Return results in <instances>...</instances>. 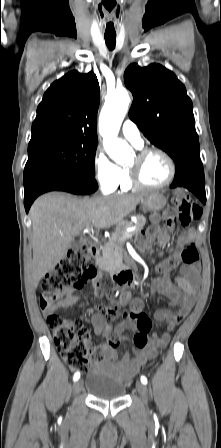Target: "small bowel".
<instances>
[{
    "label": "small bowel",
    "instance_id": "c3829d8e",
    "mask_svg": "<svg viewBox=\"0 0 221 448\" xmlns=\"http://www.w3.org/2000/svg\"><path fill=\"white\" fill-rule=\"evenodd\" d=\"M166 223H162L159 218H152V225L148 229L147 234L142 235L137 240V245L141 250L147 249L151 243L158 246H164L168 242L169 230L174 221V216L167 212L165 214ZM190 235H183L178 242V250L170 257L162 261L156 266V272L159 277L156 278L151 286L152 292H157L170 300L172 307H177V313L168 308H160L156 310L154 318L158 322L166 324L163 332L158 335L154 333L148 344L141 349H135L134 354L125 352L121 359L118 358V346L121 341H127L126 332L137 331V323L126 316L114 329L107 324V317L115 318L119 314L117 305L106 307H96L92 309L91 324L94 332L105 338V343L101 345L98 351L93 350L91 353L92 364L96 370H107L112 372L115 377L120 380H127L134 376L140 369L141 365L147 360L156 357L158 351L166 347L170 340V333L177 325L176 318L186 316L192 309L200 282V272L197 264L182 263L180 275L173 281L168 278V273L181 261L180 249L190 241ZM93 292L96 296H101L100 283L98 280L92 282ZM81 300L79 295H68L62 300L57 308H68L77 304ZM123 303H129L132 313H140L143 309V302L139 298L130 299L129 294L123 296Z\"/></svg>",
    "mask_w": 221,
    "mask_h": 448
}]
</instances>
